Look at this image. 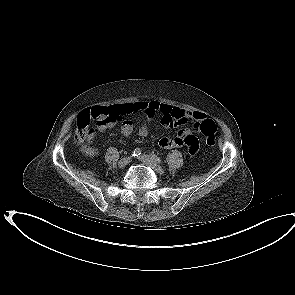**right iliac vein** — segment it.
Returning a JSON list of instances; mask_svg holds the SVG:
<instances>
[{"label": "right iliac vein", "instance_id": "63e3f726", "mask_svg": "<svg viewBox=\"0 0 295 295\" xmlns=\"http://www.w3.org/2000/svg\"><path fill=\"white\" fill-rule=\"evenodd\" d=\"M131 158L130 157H124L122 158L119 162H118V166L120 168L125 167L129 162H130Z\"/></svg>", "mask_w": 295, "mask_h": 295}]
</instances>
